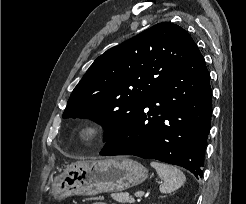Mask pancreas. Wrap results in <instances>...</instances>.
Segmentation results:
<instances>
[{
    "mask_svg": "<svg viewBox=\"0 0 246 204\" xmlns=\"http://www.w3.org/2000/svg\"><path fill=\"white\" fill-rule=\"evenodd\" d=\"M111 197L113 200L120 203H134V199L129 197L128 193H112Z\"/></svg>",
    "mask_w": 246,
    "mask_h": 204,
    "instance_id": "obj_1",
    "label": "pancreas"
}]
</instances>
